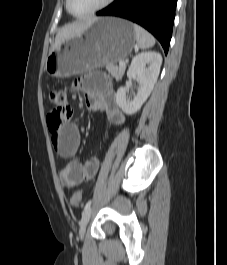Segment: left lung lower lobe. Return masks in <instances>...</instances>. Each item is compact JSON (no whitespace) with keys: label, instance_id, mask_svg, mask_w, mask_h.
Here are the masks:
<instances>
[{"label":"left lung lower lobe","instance_id":"0a47b994","mask_svg":"<svg viewBox=\"0 0 227 265\" xmlns=\"http://www.w3.org/2000/svg\"><path fill=\"white\" fill-rule=\"evenodd\" d=\"M177 0H115L98 16H118L131 20L152 33L165 54L172 36Z\"/></svg>","mask_w":227,"mask_h":265}]
</instances>
